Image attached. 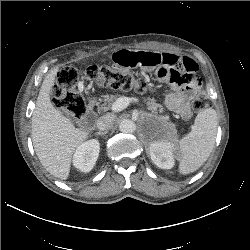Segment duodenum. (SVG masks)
<instances>
[{
	"label": "duodenum",
	"instance_id": "duodenum-1",
	"mask_svg": "<svg viewBox=\"0 0 250 250\" xmlns=\"http://www.w3.org/2000/svg\"><path fill=\"white\" fill-rule=\"evenodd\" d=\"M93 109H94V102H93V100H90L88 102V106H87V110H86L87 118L85 120V123L87 125H89L94 119V110Z\"/></svg>",
	"mask_w": 250,
	"mask_h": 250
}]
</instances>
